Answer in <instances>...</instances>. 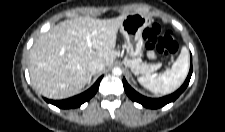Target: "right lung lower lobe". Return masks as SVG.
Masks as SVG:
<instances>
[{
	"mask_svg": "<svg viewBox=\"0 0 225 132\" xmlns=\"http://www.w3.org/2000/svg\"><path fill=\"white\" fill-rule=\"evenodd\" d=\"M101 79H102V76L96 81V83L90 89H88L87 91H85L77 96H74L72 98L65 99V100H59V101H53V100H48V99H46V101L48 103H51V104H53L59 108H63V109L79 107L81 104L90 100L95 95V93L98 90Z\"/></svg>",
	"mask_w": 225,
	"mask_h": 132,
	"instance_id": "obj_1",
	"label": "right lung lower lobe"
}]
</instances>
